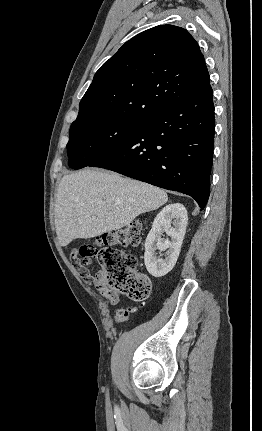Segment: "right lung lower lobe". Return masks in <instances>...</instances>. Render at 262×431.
Masks as SVG:
<instances>
[{
	"instance_id": "98d812e1",
	"label": "right lung lower lobe",
	"mask_w": 262,
	"mask_h": 431,
	"mask_svg": "<svg viewBox=\"0 0 262 431\" xmlns=\"http://www.w3.org/2000/svg\"><path fill=\"white\" fill-rule=\"evenodd\" d=\"M214 129L209 85L198 95L142 119L127 139L89 166L185 193L202 210L210 191Z\"/></svg>"
}]
</instances>
